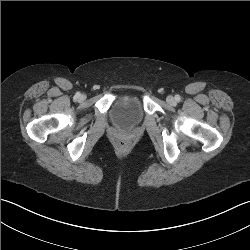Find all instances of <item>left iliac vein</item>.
I'll use <instances>...</instances> for the list:
<instances>
[{
	"mask_svg": "<svg viewBox=\"0 0 250 250\" xmlns=\"http://www.w3.org/2000/svg\"><path fill=\"white\" fill-rule=\"evenodd\" d=\"M166 101L171 105H174L176 103L174 97L171 95L166 98Z\"/></svg>",
	"mask_w": 250,
	"mask_h": 250,
	"instance_id": "4c4485c4",
	"label": "left iliac vein"
}]
</instances>
